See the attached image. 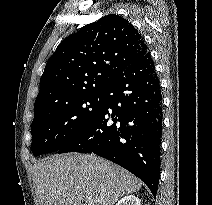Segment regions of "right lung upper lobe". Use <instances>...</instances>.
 I'll return each instance as SVG.
<instances>
[{"label":"right lung upper lobe","instance_id":"cb5924a9","mask_svg":"<svg viewBox=\"0 0 212 205\" xmlns=\"http://www.w3.org/2000/svg\"><path fill=\"white\" fill-rule=\"evenodd\" d=\"M148 52L141 34L125 18L110 14L65 38L49 58L40 79L34 114L105 86Z\"/></svg>","mask_w":212,"mask_h":205}]
</instances>
